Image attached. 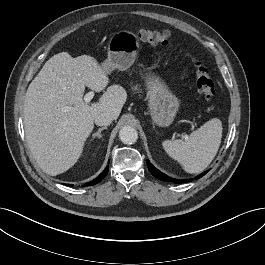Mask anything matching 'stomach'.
<instances>
[{"mask_svg":"<svg viewBox=\"0 0 265 265\" xmlns=\"http://www.w3.org/2000/svg\"><path fill=\"white\" fill-rule=\"evenodd\" d=\"M139 40L130 31L115 33L108 44V58L102 63V69L107 73L118 69H128L137 57ZM147 89L148 111L154 124L168 127L172 124L179 110L178 98L169 90L160 77L154 74L145 76Z\"/></svg>","mask_w":265,"mask_h":265,"instance_id":"1","label":"stomach"}]
</instances>
